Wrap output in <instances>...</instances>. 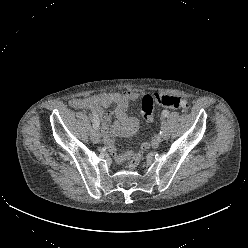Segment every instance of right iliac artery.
Wrapping results in <instances>:
<instances>
[{
    "label": "right iliac artery",
    "mask_w": 248,
    "mask_h": 248,
    "mask_svg": "<svg viewBox=\"0 0 248 248\" xmlns=\"http://www.w3.org/2000/svg\"><path fill=\"white\" fill-rule=\"evenodd\" d=\"M92 115H93V128L94 129H98L99 127V118H98V115L96 114L95 111H92Z\"/></svg>",
    "instance_id": "82829eb1"
}]
</instances>
